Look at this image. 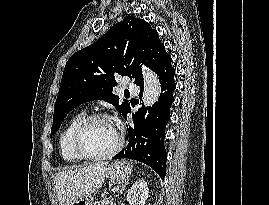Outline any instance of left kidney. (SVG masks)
<instances>
[{
	"label": "left kidney",
	"mask_w": 269,
	"mask_h": 205,
	"mask_svg": "<svg viewBox=\"0 0 269 205\" xmlns=\"http://www.w3.org/2000/svg\"><path fill=\"white\" fill-rule=\"evenodd\" d=\"M148 185L145 180L136 181L129 189L127 201L130 205H145L148 198Z\"/></svg>",
	"instance_id": "5707ae66"
}]
</instances>
